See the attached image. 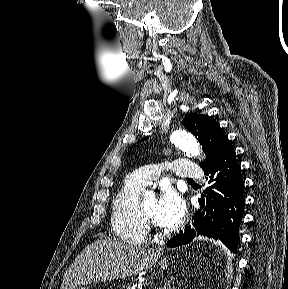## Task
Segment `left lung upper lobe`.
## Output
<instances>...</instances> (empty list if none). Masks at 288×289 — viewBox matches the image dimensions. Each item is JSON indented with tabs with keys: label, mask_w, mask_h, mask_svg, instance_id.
I'll list each match as a JSON object with an SVG mask.
<instances>
[{
	"label": "left lung upper lobe",
	"mask_w": 288,
	"mask_h": 289,
	"mask_svg": "<svg viewBox=\"0 0 288 289\" xmlns=\"http://www.w3.org/2000/svg\"><path fill=\"white\" fill-rule=\"evenodd\" d=\"M182 124L197 137L202 145L206 158L199 165L204 167L215 157L227 136L221 131L219 124L206 115L189 114L183 119Z\"/></svg>",
	"instance_id": "obj_1"
}]
</instances>
